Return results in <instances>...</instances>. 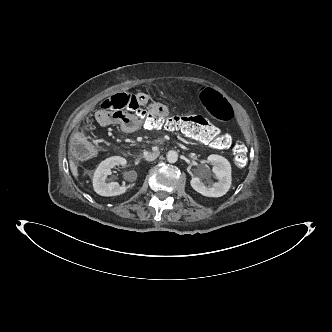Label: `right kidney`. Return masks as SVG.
Returning a JSON list of instances; mask_svg holds the SVG:
<instances>
[{"mask_svg": "<svg viewBox=\"0 0 332 332\" xmlns=\"http://www.w3.org/2000/svg\"><path fill=\"white\" fill-rule=\"evenodd\" d=\"M126 164V159L121 156H112L102 161L93 175L94 191L101 196H116L125 193L127 187L120 186L117 182H106V179L114 166H125Z\"/></svg>", "mask_w": 332, "mask_h": 332, "instance_id": "ca27d5eb", "label": "right kidney"}]
</instances>
